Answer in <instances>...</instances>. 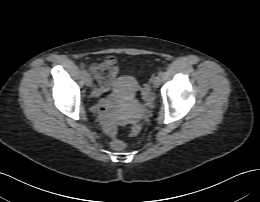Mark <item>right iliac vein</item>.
Segmentation results:
<instances>
[{
  "label": "right iliac vein",
  "instance_id": "1",
  "mask_svg": "<svg viewBox=\"0 0 260 202\" xmlns=\"http://www.w3.org/2000/svg\"><path fill=\"white\" fill-rule=\"evenodd\" d=\"M84 80H85V84L87 86H91L92 85V78H91V76L89 74L85 75Z\"/></svg>",
  "mask_w": 260,
  "mask_h": 202
}]
</instances>
